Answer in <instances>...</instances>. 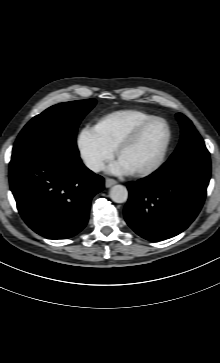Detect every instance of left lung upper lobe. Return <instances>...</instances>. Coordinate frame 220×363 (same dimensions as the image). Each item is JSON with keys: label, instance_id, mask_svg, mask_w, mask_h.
Wrapping results in <instances>:
<instances>
[{"label": "left lung upper lobe", "instance_id": "left-lung-upper-lobe-1", "mask_svg": "<svg viewBox=\"0 0 220 363\" xmlns=\"http://www.w3.org/2000/svg\"><path fill=\"white\" fill-rule=\"evenodd\" d=\"M177 119L181 125V139L178 147L171 157L191 150L208 151L205 147L204 141L194 128L192 122L181 113L177 114Z\"/></svg>", "mask_w": 220, "mask_h": 363}]
</instances>
